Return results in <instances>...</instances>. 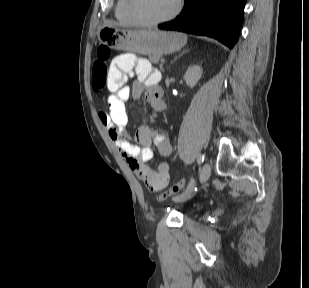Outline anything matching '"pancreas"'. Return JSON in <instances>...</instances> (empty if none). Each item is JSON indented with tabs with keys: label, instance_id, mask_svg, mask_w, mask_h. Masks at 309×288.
Masks as SVG:
<instances>
[{
	"label": "pancreas",
	"instance_id": "cf45deb5",
	"mask_svg": "<svg viewBox=\"0 0 309 288\" xmlns=\"http://www.w3.org/2000/svg\"><path fill=\"white\" fill-rule=\"evenodd\" d=\"M159 59H160V57H154V56L149 57V60L151 61V63H154V64L158 63Z\"/></svg>",
	"mask_w": 309,
	"mask_h": 288
}]
</instances>
